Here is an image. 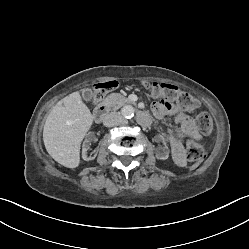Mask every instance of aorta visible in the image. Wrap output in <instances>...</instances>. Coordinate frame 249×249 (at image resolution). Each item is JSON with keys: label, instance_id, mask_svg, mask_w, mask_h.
Returning <instances> with one entry per match:
<instances>
[{"label": "aorta", "instance_id": "762f6f07", "mask_svg": "<svg viewBox=\"0 0 249 249\" xmlns=\"http://www.w3.org/2000/svg\"><path fill=\"white\" fill-rule=\"evenodd\" d=\"M134 108L130 105L124 106L121 110V114L124 118L130 119L134 116Z\"/></svg>", "mask_w": 249, "mask_h": 249}]
</instances>
